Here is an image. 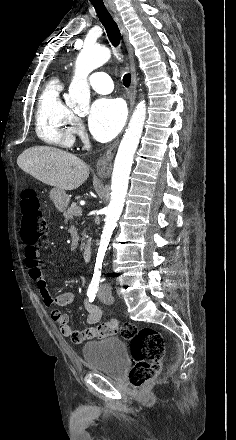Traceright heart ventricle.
<instances>
[{"label":"right heart ventricle","mask_w":236,"mask_h":440,"mask_svg":"<svg viewBox=\"0 0 236 440\" xmlns=\"http://www.w3.org/2000/svg\"><path fill=\"white\" fill-rule=\"evenodd\" d=\"M63 85L59 78H51L44 86L36 109V133L44 142L69 148L75 138V116L63 102Z\"/></svg>","instance_id":"right-heart-ventricle-1"}]
</instances>
